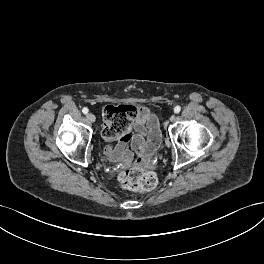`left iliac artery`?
I'll return each mask as SVG.
<instances>
[{"label":"left iliac artery","mask_w":264,"mask_h":264,"mask_svg":"<svg viewBox=\"0 0 264 264\" xmlns=\"http://www.w3.org/2000/svg\"><path fill=\"white\" fill-rule=\"evenodd\" d=\"M181 111V107L180 106H176L175 108H174V112L177 114V113H179Z\"/></svg>","instance_id":"1"}]
</instances>
